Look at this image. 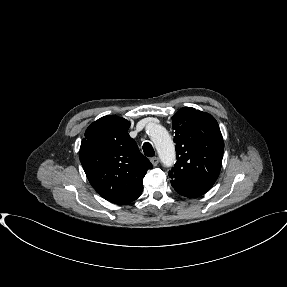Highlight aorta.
<instances>
[{"label": "aorta", "mask_w": 287, "mask_h": 287, "mask_svg": "<svg viewBox=\"0 0 287 287\" xmlns=\"http://www.w3.org/2000/svg\"><path fill=\"white\" fill-rule=\"evenodd\" d=\"M149 137L154 143L161 162L170 167L175 163V147L167 130L159 125L152 124L149 127Z\"/></svg>", "instance_id": "1"}]
</instances>
